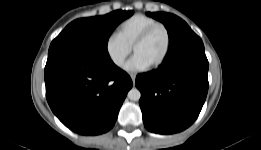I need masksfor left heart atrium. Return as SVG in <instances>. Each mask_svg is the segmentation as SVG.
Segmentation results:
<instances>
[{
    "instance_id": "left-heart-atrium-1",
    "label": "left heart atrium",
    "mask_w": 261,
    "mask_h": 150,
    "mask_svg": "<svg viewBox=\"0 0 261 150\" xmlns=\"http://www.w3.org/2000/svg\"><path fill=\"white\" fill-rule=\"evenodd\" d=\"M149 64L139 55L134 56L127 62L125 69L131 72L144 71L149 68Z\"/></svg>"
}]
</instances>
